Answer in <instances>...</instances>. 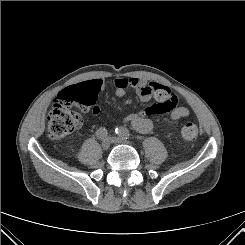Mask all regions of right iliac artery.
Instances as JSON below:
<instances>
[{
    "label": "right iliac artery",
    "mask_w": 245,
    "mask_h": 245,
    "mask_svg": "<svg viewBox=\"0 0 245 245\" xmlns=\"http://www.w3.org/2000/svg\"><path fill=\"white\" fill-rule=\"evenodd\" d=\"M107 135H108V133H107V130L105 128H99L96 131V136L100 140L106 139Z\"/></svg>",
    "instance_id": "right-iliac-artery-1"
}]
</instances>
